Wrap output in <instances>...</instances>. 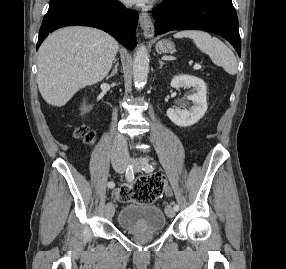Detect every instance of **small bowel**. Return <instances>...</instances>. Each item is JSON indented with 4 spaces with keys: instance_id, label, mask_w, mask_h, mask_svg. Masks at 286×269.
<instances>
[{
    "instance_id": "obj_1",
    "label": "small bowel",
    "mask_w": 286,
    "mask_h": 269,
    "mask_svg": "<svg viewBox=\"0 0 286 269\" xmlns=\"http://www.w3.org/2000/svg\"><path fill=\"white\" fill-rule=\"evenodd\" d=\"M166 194H167L168 196H171V194H172L171 190H170V189H167V190H166Z\"/></svg>"
}]
</instances>
